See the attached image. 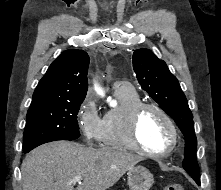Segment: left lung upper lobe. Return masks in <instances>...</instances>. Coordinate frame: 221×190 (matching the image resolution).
<instances>
[{
  "instance_id": "5c2ea615",
  "label": "left lung upper lobe",
  "mask_w": 221,
  "mask_h": 190,
  "mask_svg": "<svg viewBox=\"0 0 221 190\" xmlns=\"http://www.w3.org/2000/svg\"><path fill=\"white\" fill-rule=\"evenodd\" d=\"M133 69L142 89L174 119L182 131L185 140L183 168L193 179H200L193 115L177 78L166 63L148 49L134 51Z\"/></svg>"
}]
</instances>
